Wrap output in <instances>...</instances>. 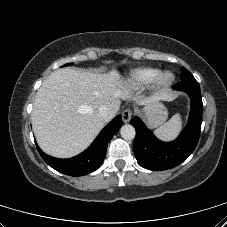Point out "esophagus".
Listing matches in <instances>:
<instances>
[{"label":"esophagus","mask_w":227,"mask_h":227,"mask_svg":"<svg viewBox=\"0 0 227 227\" xmlns=\"http://www.w3.org/2000/svg\"><path fill=\"white\" fill-rule=\"evenodd\" d=\"M132 111L130 109H125L122 113V119L125 123H128L131 120Z\"/></svg>","instance_id":"1"}]
</instances>
